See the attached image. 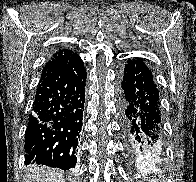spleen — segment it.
I'll use <instances>...</instances> for the list:
<instances>
[{
	"label": "spleen",
	"mask_w": 196,
	"mask_h": 182,
	"mask_svg": "<svg viewBox=\"0 0 196 182\" xmlns=\"http://www.w3.org/2000/svg\"><path fill=\"white\" fill-rule=\"evenodd\" d=\"M151 182H157V181H155V180H152Z\"/></svg>",
	"instance_id": "spleen-1"
}]
</instances>
